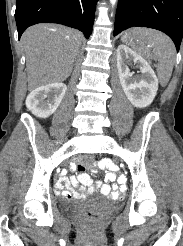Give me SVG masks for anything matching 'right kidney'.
<instances>
[{
	"label": "right kidney",
	"instance_id": "1",
	"mask_svg": "<svg viewBox=\"0 0 183 246\" xmlns=\"http://www.w3.org/2000/svg\"><path fill=\"white\" fill-rule=\"evenodd\" d=\"M67 86L57 82L34 89L26 98V107L39 118L52 115L61 103Z\"/></svg>",
	"mask_w": 183,
	"mask_h": 246
}]
</instances>
